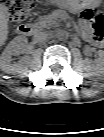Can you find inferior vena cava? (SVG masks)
<instances>
[{"label": "inferior vena cava", "mask_w": 104, "mask_h": 137, "mask_svg": "<svg viewBox=\"0 0 104 137\" xmlns=\"http://www.w3.org/2000/svg\"><path fill=\"white\" fill-rule=\"evenodd\" d=\"M48 35H49V34H47V33H45V32H40V31H38V32H36V33L34 34V40H35L36 42L45 41V40L48 38Z\"/></svg>", "instance_id": "obj_1"}]
</instances>
